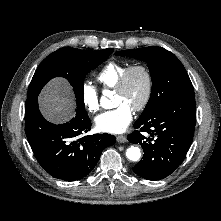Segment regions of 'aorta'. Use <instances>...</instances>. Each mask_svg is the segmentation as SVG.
<instances>
[{
    "label": "aorta",
    "instance_id": "aorta-1",
    "mask_svg": "<svg viewBox=\"0 0 221 221\" xmlns=\"http://www.w3.org/2000/svg\"><path fill=\"white\" fill-rule=\"evenodd\" d=\"M100 104L103 108L109 109L112 107V102L108 98V93L101 97ZM126 156L131 161H138L141 157V150L138 147L131 146L126 150Z\"/></svg>",
    "mask_w": 221,
    "mask_h": 221
}]
</instances>
